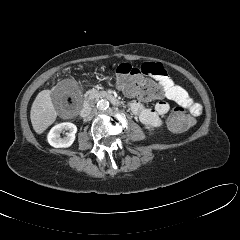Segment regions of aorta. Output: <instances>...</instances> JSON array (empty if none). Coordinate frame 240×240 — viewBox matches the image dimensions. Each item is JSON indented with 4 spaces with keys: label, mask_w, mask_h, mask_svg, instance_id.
<instances>
[{
    "label": "aorta",
    "mask_w": 240,
    "mask_h": 240,
    "mask_svg": "<svg viewBox=\"0 0 240 240\" xmlns=\"http://www.w3.org/2000/svg\"><path fill=\"white\" fill-rule=\"evenodd\" d=\"M96 107L99 111H105L109 108V101L106 99H101L98 101Z\"/></svg>",
    "instance_id": "1"
}]
</instances>
